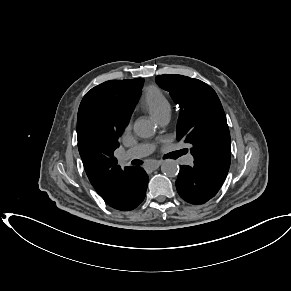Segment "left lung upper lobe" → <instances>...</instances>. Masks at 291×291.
<instances>
[{
	"mask_svg": "<svg viewBox=\"0 0 291 291\" xmlns=\"http://www.w3.org/2000/svg\"><path fill=\"white\" fill-rule=\"evenodd\" d=\"M156 83L180 106L177 139L192 144L194 162L226 178L231 161L230 132L216 92L206 83L163 74Z\"/></svg>",
	"mask_w": 291,
	"mask_h": 291,
	"instance_id": "obj_1",
	"label": "left lung upper lobe"
}]
</instances>
